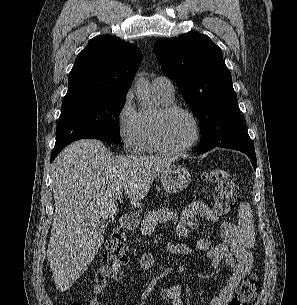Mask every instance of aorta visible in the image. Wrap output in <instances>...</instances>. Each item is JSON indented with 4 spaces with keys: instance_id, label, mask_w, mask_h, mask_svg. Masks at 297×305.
I'll return each mask as SVG.
<instances>
[{
    "instance_id": "obj_1",
    "label": "aorta",
    "mask_w": 297,
    "mask_h": 305,
    "mask_svg": "<svg viewBox=\"0 0 297 305\" xmlns=\"http://www.w3.org/2000/svg\"><path fill=\"white\" fill-rule=\"evenodd\" d=\"M136 92L144 108H151L153 106V101L150 94V86L142 74H140L136 80Z\"/></svg>"
}]
</instances>
